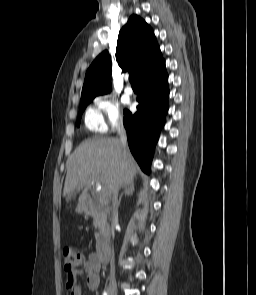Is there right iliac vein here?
I'll list each match as a JSON object with an SVG mask.
<instances>
[{
    "label": "right iliac vein",
    "mask_w": 256,
    "mask_h": 295,
    "mask_svg": "<svg viewBox=\"0 0 256 295\" xmlns=\"http://www.w3.org/2000/svg\"><path fill=\"white\" fill-rule=\"evenodd\" d=\"M108 295H117L116 281L113 277L110 278V283L108 286Z\"/></svg>",
    "instance_id": "1"
}]
</instances>
